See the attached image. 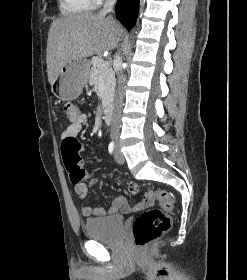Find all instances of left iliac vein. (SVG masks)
Here are the masks:
<instances>
[{"label":"left iliac vein","mask_w":247,"mask_h":280,"mask_svg":"<svg viewBox=\"0 0 247 280\" xmlns=\"http://www.w3.org/2000/svg\"><path fill=\"white\" fill-rule=\"evenodd\" d=\"M114 158H115V161L118 163V164H123L124 163V156L122 155V153L120 152L119 150V146L117 145L116 148H115V153H114Z\"/></svg>","instance_id":"left-iliac-vein-1"}]
</instances>
